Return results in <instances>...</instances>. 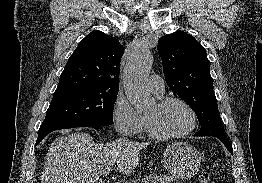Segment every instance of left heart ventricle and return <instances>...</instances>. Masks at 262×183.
<instances>
[{
    "label": "left heart ventricle",
    "instance_id": "left-heart-ventricle-1",
    "mask_svg": "<svg viewBox=\"0 0 262 183\" xmlns=\"http://www.w3.org/2000/svg\"><path fill=\"white\" fill-rule=\"evenodd\" d=\"M156 128L164 134H178L191 126L189 111L178 103H172L161 109L155 104L146 114Z\"/></svg>",
    "mask_w": 262,
    "mask_h": 183
}]
</instances>
